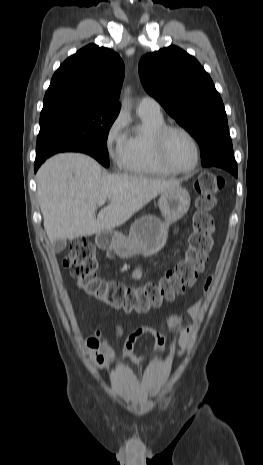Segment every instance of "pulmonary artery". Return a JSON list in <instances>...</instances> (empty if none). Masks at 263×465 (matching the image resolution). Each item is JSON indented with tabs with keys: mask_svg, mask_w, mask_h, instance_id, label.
Wrapping results in <instances>:
<instances>
[{
	"mask_svg": "<svg viewBox=\"0 0 263 465\" xmlns=\"http://www.w3.org/2000/svg\"><path fill=\"white\" fill-rule=\"evenodd\" d=\"M137 111L138 113H146L156 116L162 115L159 102L150 96H144L139 100Z\"/></svg>",
	"mask_w": 263,
	"mask_h": 465,
	"instance_id": "e3ab8cb5",
	"label": "pulmonary artery"
}]
</instances>
